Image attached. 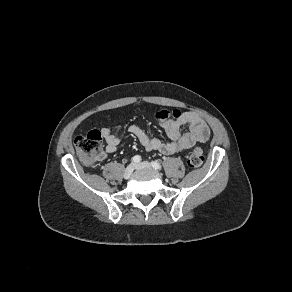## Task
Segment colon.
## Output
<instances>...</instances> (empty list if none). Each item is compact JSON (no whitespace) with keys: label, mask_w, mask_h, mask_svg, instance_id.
I'll return each instance as SVG.
<instances>
[{"label":"colon","mask_w":292,"mask_h":292,"mask_svg":"<svg viewBox=\"0 0 292 292\" xmlns=\"http://www.w3.org/2000/svg\"><path fill=\"white\" fill-rule=\"evenodd\" d=\"M177 111L160 110L156 113L157 118L175 116ZM102 134L98 130H92L86 135L78 136L75 139V147L79 158L88 166L95 165L103 157ZM204 162L202 148L195 147L189 157L188 164L192 168L199 167Z\"/></svg>","instance_id":"colon-1"}]
</instances>
